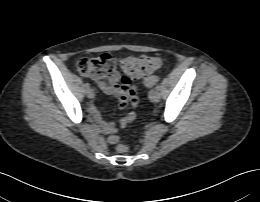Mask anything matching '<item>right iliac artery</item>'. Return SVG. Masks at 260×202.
Here are the masks:
<instances>
[{
  "label": "right iliac artery",
  "mask_w": 260,
  "mask_h": 202,
  "mask_svg": "<svg viewBox=\"0 0 260 202\" xmlns=\"http://www.w3.org/2000/svg\"><path fill=\"white\" fill-rule=\"evenodd\" d=\"M85 88L86 89H89L90 88V85L88 83L85 84Z\"/></svg>",
  "instance_id": "right-iliac-artery-1"
}]
</instances>
